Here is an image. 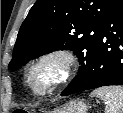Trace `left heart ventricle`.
<instances>
[{"label":"left heart ventricle","mask_w":123,"mask_h":113,"mask_svg":"<svg viewBox=\"0 0 123 113\" xmlns=\"http://www.w3.org/2000/svg\"><path fill=\"white\" fill-rule=\"evenodd\" d=\"M52 71L50 68H44L39 73L36 74L34 78V83L38 88H42L48 79L51 77Z\"/></svg>","instance_id":"b2bd125f"}]
</instances>
